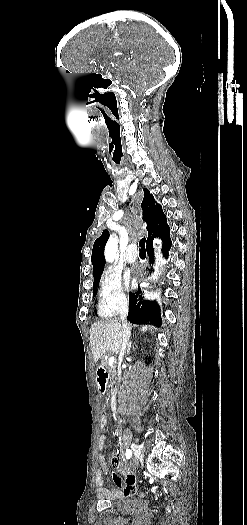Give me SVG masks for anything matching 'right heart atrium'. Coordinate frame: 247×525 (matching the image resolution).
Segmentation results:
<instances>
[{
	"instance_id": "1",
	"label": "right heart atrium",
	"mask_w": 247,
	"mask_h": 525,
	"mask_svg": "<svg viewBox=\"0 0 247 525\" xmlns=\"http://www.w3.org/2000/svg\"><path fill=\"white\" fill-rule=\"evenodd\" d=\"M127 305L122 276L112 266L104 269L98 288V311L103 316L119 314Z\"/></svg>"
}]
</instances>
